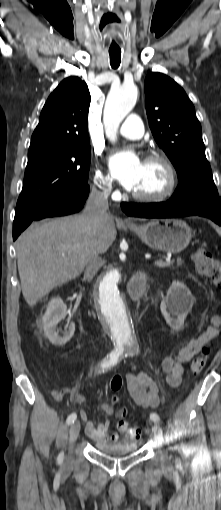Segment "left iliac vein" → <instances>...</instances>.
Returning <instances> with one entry per match:
<instances>
[{
	"mask_svg": "<svg viewBox=\"0 0 221 510\" xmlns=\"http://www.w3.org/2000/svg\"><path fill=\"white\" fill-rule=\"evenodd\" d=\"M152 434L154 436V439L157 441H161L163 439V432L162 428L158 423H155L152 427Z\"/></svg>",
	"mask_w": 221,
	"mask_h": 510,
	"instance_id": "left-iliac-vein-1",
	"label": "left iliac vein"
}]
</instances>
